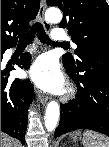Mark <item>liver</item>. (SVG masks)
Returning a JSON list of instances; mask_svg holds the SVG:
<instances>
[{
	"label": "liver",
	"mask_w": 109,
	"mask_h": 147,
	"mask_svg": "<svg viewBox=\"0 0 109 147\" xmlns=\"http://www.w3.org/2000/svg\"><path fill=\"white\" fill-rule=\"evenodd\" d=\"M1 147H20V143L14 138L2 134L1 136Z\"/></svg>",
	"instance_id": "1"
}]
</instances>
